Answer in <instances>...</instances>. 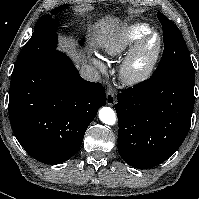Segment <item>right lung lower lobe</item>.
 Wrapping results in <instances>:
<instances>
[{"mask_svg": "<svg viewBox=\"0 0 199 199\" xmlns=\"http://www.w3.org/2000/svg\"><path fill=\"white\" fill-rule=\"evenodd\" d=\"M104 105L102 85L83 80L57 50L11 78L8 109L14 135L46 164L62 163L79 151L87 127Z\"/></svg>", "mask_w": 199, "mask_h": 199, "instance_id": "right-lung-lower-lobe-1", "label": "right lung lower lobe"}]
</instances>
